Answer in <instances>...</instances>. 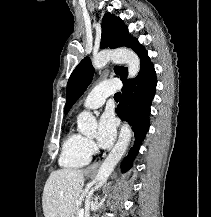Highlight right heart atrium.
Instances as JSON below:
<instances>
[{"mask_svg":"<svg viewBox=\"0 0 211 217\" xmlns=\"http://www.w3.org/2000/svg\"><path fill=\"white\" fill-rule=\"evenodd\" d=\"M86 145H87V148L91 154L95 152L96 146L92 140L87 139Z\"/></svg>","mask_w":211,"mask_h":217,"instance_id":"1","label":"right heart atrium"}]
</instances>
